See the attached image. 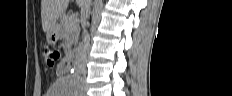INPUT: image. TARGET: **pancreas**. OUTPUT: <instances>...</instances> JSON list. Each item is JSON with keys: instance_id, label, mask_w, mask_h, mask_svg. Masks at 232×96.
Listing matches in <instances>:
<instances>
[{"instance_id": "1", "label": "pancreas", "mask_w": 232, "mask_h": 96, "mask_svg": "<svg viewBox=\"0 0 232 96\" xmlns=\"http://www.w3.org/2000/svg\"><path fill=\"white\" fill-rule=\"evenodd\" d=\"M72 15H63L60 23V35L65 39L66 53L71 51L79 36V22L77 18H71Z\"/></svg>"}]
</instances>
